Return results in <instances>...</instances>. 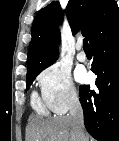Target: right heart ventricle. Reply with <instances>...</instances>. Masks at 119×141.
<instances>
[{
  "instance_id": "1",
  "label": "right heart ventricle",
  "mask_w": 119,
  "mask_h": 141,
  "mask_svg": "<svg viewBox=\"0 0 119 141\" xmlns=\"http://www.w3.org/2000/svg\"><path fill=\"white\" fill-rule=\"evenodd\" d=\"M32 105L37 112L41 114H48L47 106L36 94L32 95Z\"/></svg>"
}]
</instances>
